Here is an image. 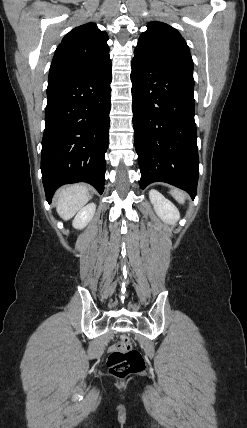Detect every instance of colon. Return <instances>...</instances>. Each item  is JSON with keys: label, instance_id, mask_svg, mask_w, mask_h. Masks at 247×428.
I'll return each instance as SVG.
<instances>
[{"label": "colon", "instance_id": "5ec220e1", "mask_svg": "<svg viewBox=\"0 0 247 428\" xmlns=\"http://www.w3.org/2000/svg\"><path fill=\"white\" fill-rule=\"evenodd\" d=\"M144 367L141 353L133 348L130 339L126 336L114 345L107 359V368L110 374L117 378H125L141 372Z\"/></svg>", "mask_w": 247, "mask_h": 428}]
</instances>
